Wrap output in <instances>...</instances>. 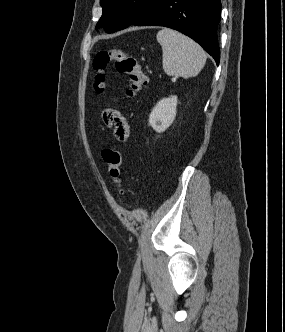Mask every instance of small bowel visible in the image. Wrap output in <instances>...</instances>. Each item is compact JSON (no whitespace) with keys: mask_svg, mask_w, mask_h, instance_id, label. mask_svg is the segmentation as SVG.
Returning a JSON list of instances; mask_svg holds the SVG:
<instances>
[{"mask_svg":"<svg viewBox=\"0 0 285 332\" xmlns=\"http://www.w3.org/2000/svg\"><path fill=\"white\" fill-rule=\"evenodd\" d=\"M102 118L105 125L113 130V134L118 141L124 142L127 140L129 137V125L118 110L107 109L104 111Z\"/></svg>","mask_w":285,"mask_h":332,"instance_id":"obj_1","label":"small bowel"}]
</instances>
